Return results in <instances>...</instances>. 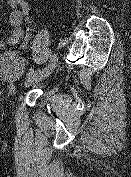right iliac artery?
<instances>
[{"instance_id": "82829eb1", "label": "right iliac artery", "mask_w": 131, "mask_h": 177, "mask_svg": "<svg viewBox=\"0 0 131 177\" xmlns=\"http://www.w3.org/2000/svg\"><path fill=\"white\" fill-rule=\"evenodd\" d=\"M55 57L54 53H48L47 54V59L45 60V64L42 66V68L39 69L40 73H45L46 70H49L52 67V64L50 61H53ZM34 73V71H31L29 74Z\"/></svg>"}]
</instances>
